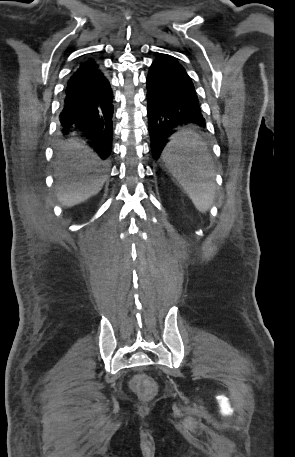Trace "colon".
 Listing matches in <instances>:
<instances>
[{
  "label": "colon",
  "instance_id": "5ec220e1",
  "mask_svg": "<svg viewBox=\"0 0 295 457\" xmlns=\"http://www.w3.org/2000/svg\"><path fill=\"white\" fill-rule=\"evenodd\" d=\"M136 379L138 381H133L132 384L133 390H142L145 394H149L154 390L153 374H138Z\"/></svg>",
  "mask_w": 295,
  "mask_h": 457
}]
</instances>
